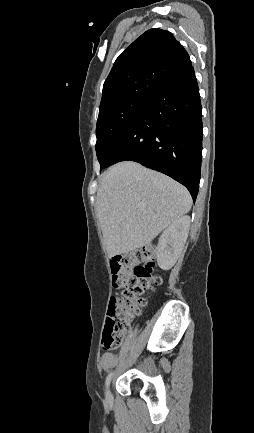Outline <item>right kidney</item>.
Masks as SVG:
<instances>
[{"instance_id":"obj_1","label":"right kidney","mask_w":254,"mask_h":433,"mask_svg":"<svg viewBox=\"0 0 254 433\" xmlns=\"http://www.w3.org/2000/svg\"><path fill=\"white\" fill-rule=\"evenodd\" d=\"M190 217L181 216L161 234L157 246V262L161 269L169 270L176 263L185 245Z\"/></svg>"}]
</instances>
